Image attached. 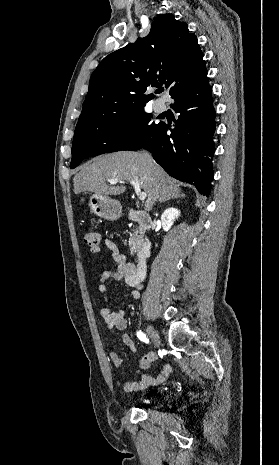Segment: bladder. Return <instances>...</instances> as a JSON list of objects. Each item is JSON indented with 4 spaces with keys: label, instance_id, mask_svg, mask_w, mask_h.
Wrapping results in <instances>:
<instances>
[{
    "label": "bladder",
    "instance_id": "obj_1",
    "mask_svg": "<svg viewBox=\"0 0 279 465\" xmlns=\"http://www.w3.org/2000/svg\"><path fill=\"white\" fill-rule=\"evenodd\" d=\"M150 398H144V402H149Z\"/></svg>",
    "mask_w": 279,
    "mask_h": 465
}]
</instances>
